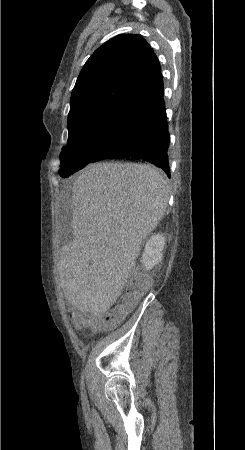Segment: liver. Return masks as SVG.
I'll return each instance as SVG.
<instances>
[{
	"instance_id": "liver-1",
	"label": "liver",
	"mask_w": 245,
	"mask_h": 450,
	"mask_svg": "<svg viewBox=\"0 0 245 450\" xmlns=\"http://www.w3.org/2000/svg\"><path fill=\"white\" fill-rule=\"evenodd\" d=\"M168 198L163 173L150 164L103 162L82 170L72 189L74 239L58 266L69 303L93 315L110 309Z\"/></svg>"
}]
</instances>
